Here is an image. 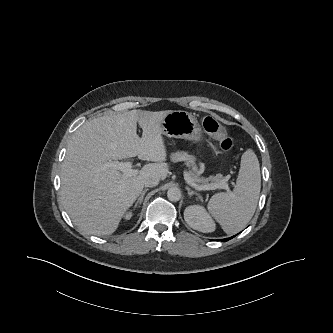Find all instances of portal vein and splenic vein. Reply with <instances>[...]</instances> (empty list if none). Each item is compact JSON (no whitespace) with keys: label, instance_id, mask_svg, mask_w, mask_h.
Listing matches in <instances>:
<instances>
[{"label":"portal vein and splenic vein","instance_id":"1","mask_svg":"<svg viewBox=\"0 0 333 333\" xmlns=\"http://www.w3.org/2000/svg\"><path fill=\"white\" fill-rule=\"evenodd\" d=\"M105 166L108 168L117 169L126 176H133L138 172L137 170L133 169L134 165L132 162L108 161L105 163ZM184 179L191 187L195 188L196 190H215L220 188L229 191L228 185L225 182L220 184L198 185L192 180L188 173L184 174Z\"/></svg>","mask_w":333,"mask_h":333}]
</instances>
